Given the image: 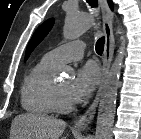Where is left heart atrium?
<instances>
[{
  "label": "left heart atrium",
  "instance_id": "1",
  "mask_svg": "<svg viewBox=\"0 0 141 139\" xmlns=\"http://www.w3.org/2000/svg\"><path fill=\"white\" fill-rule=\"evenodd\" d=\"M100 80L98 67L93 63L82 66L69 88V98L72 102H82L95 90Z\"/></svg>",
  "mask_w": 141,
  "mask_h": 139
}]
</instances>
